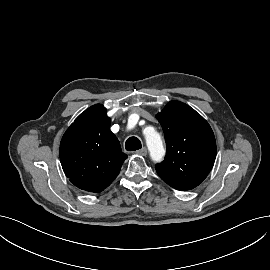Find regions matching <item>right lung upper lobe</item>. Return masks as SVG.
I'll return each mask as SVG.
<instances>
[{
	"instance_id": "cb5924a9",
	"label": "right lung upper lobe",
	"mask_w": 270,
	"mask_h": 270,
	"mask_svg": "<svg viewBox=\"0 0 270 270\" xmlns=\"http://www.w3.org/2000/svg\"><path fill=\"white\" fill-rule=\"evenodd\" d=\"M106 108L96 104L81 113L64 133L60 161L65 175L78 188L101 192L120 172L127 155L110 130Z\"/></svg>"
}]
</instances>
